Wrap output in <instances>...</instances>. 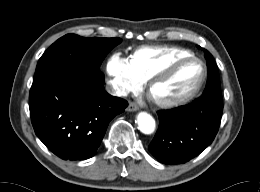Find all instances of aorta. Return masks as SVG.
Here are the masks:
<instances>
[{
    "instance_id": "obj_1",
    "label": "aorta",
    "mask_w": 260,
    "mask_h": 192,
    "mask_svg": "<svg viewBox=\"0 0 260 192\" xmlns=\"http://www.w3.org/2000/svg\"><path fill=\"white\" fill-rule=\"evenodd\" d=\"M136 123L138 129L144 134H152L156 127L154 118L146 112H140L137 115Z\"/></svg>"
}]
</instances>
